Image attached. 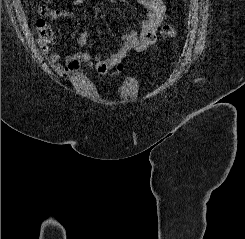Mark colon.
<instances>
[{
	"mask_svg": "<svg viewBox=\"0 0 245 239\" xmlns=\"http://www.w3.org/2000/svg\"><path fill=\"white\" fill-rule=\"evenodd\" d=\"M50 0H42V4L39 6V14L40 18L36 23V34H37V42L39 46L43 49H46L50 44H52L55 40L54 33L52 29L46 23L44 17L48 14L47 3ZM162 36L164 38H173L176 35V30L174 26L170 23L164 24L162 27Z\"/></svg>",
	"mask_w": 245,
	"mask_h": 239,
	"instance_id": "obj_1",
	"label": "colon"
}]
</instances>
